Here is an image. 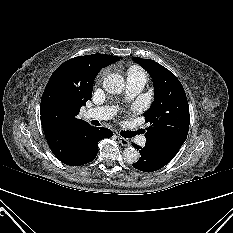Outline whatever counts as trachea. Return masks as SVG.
<instances>
[{
	"label": "trachea",
	"mask_w": 233,
	"mask_h": 233,
	"mask_svg": "<svg viewBox=\"0 0 233 233\" xmlns=\"http://www.w3.org/2000/svg\"><path fill=\"white\" fill-rule=\"evenodd\" d=\"M138 132L137 131H122L121 135L125 138H131L135 136Z\"/></svg>",
	"instance_id": "trachea-1"
}]
</instances>
